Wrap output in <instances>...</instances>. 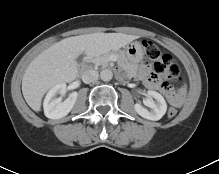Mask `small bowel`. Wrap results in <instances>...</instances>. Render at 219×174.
<instances>
[{"label":"small bowel","instance_id":"small-bowel-1","mask_svg":"<svg viewBox=\"0 0 219 174\" xmlns=\"http://www.w3.org/2000/svg\"><path fill=\"white\" fill-rule=\"evenodd\" d=\"M139 77L148 88L161 91L172 107L179 108L182 106L185 100L184 90L168 87L151 72L149 66L144 64L140 67Z\"/></svg>","mask_w":219,"mask_h":174}]
</instances>
